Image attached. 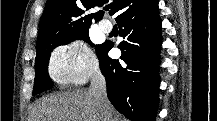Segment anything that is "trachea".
<instances>
[{
  "instance_id": "3493384b",
  "label": "trachea",
  "mask_w": 217,
  "mask_h": 121,
  "mask_svg": "<svg viewBox=\"0 0 217 121\" xmlns=\"http://www.w3.org/2000/svg\"><path fill=\"white\" fill-rule=\"evenodd\" d=\"M109 8H110L109 6H108V7H106V10H109Z\"/></svg>"
}]
</instances>
